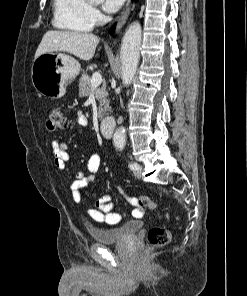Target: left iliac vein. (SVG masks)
<instances>
[{"label":"left iliac vein","instance_id":"obj_1","mask_svg":"<svg viewBox=\"0 0 247 296\" xmlns=\"http://www.w3.org/2000/svg\"><path fill=\"white\" fill-rule=\"evenodd\" d=\"M141 171H142V168L141 166L138 165V168L134 171L135 177L141 178Z\"/></svg>","mask_w":247,"mask_h":296}]
</instances>
